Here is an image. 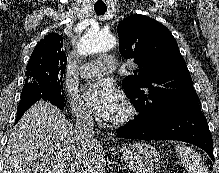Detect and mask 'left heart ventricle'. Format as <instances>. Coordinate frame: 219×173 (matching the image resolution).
<instances>
[{
    "instance_id": "1",
    "label": "left heart ventricle",
    "mask_w": 219,
    "mask_h": 173,
    "mask_svg": "<svg viewBox=\"0 0 219 173\" xmlns=\"http://www.w3.org/2000/svg\"><path fill=\"white\" fill-rule=\"evenodd\" d=\"M122 112H123V107H122V105H121V106L119 107V109L116 111V113L112 116V118H115V117L121 115Z\"/></svg>"
}]
</instances>
